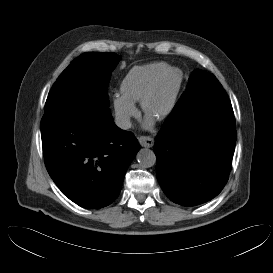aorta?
Returning <instances> with one entry per match:
<instances>
[{
  "mask_svg": "<svg viewBox=\"0 0 273 273\" xmlns=\"http://www.w3.org/2000/svg\"><path fill=\"white\" fill-rule=\"evenodd\" d=\"M137 161L143 168H149L156 163L155 153L150 149H141L137 153Z\"/></svg>",
  "mask_w": 273,
  "mask_h": 273,
  "instance_id": "obj_1",
  "label": "aorta"
}]
</instances>
